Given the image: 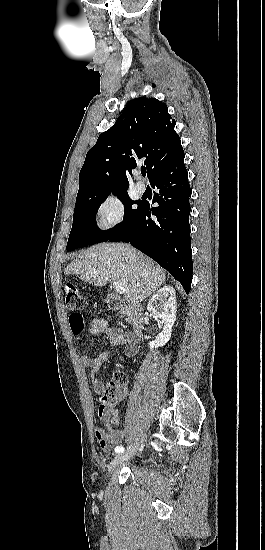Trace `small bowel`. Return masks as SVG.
Here are the masks:
<instances>
[{
    "mask_svg": "<svg viewBox=\"0 0 265 550\" xmlns=\"http://www.w3.org/2000/svg\"><path fill=\"white\" fill-rule=\"evenodd\" d=\"M88 334L91 335H102L110 343L123 345L127 354H134L137 350V347L133 345V337L126 332H122L118 329L109 328L106 322L102 319H93L90 327L87 330ZM84 330L77 334L78 337H82ZM111 356L110 351H103L97 357H83L82 365L85 368L91 370V372L96 375L102 368L103 364L109 360ZM93 388L94 391L101 395L104 391V383L94 376L93 378ZM99 418L104 423L107 424V416L99 407ZM94 435L98 441L99 446L103 451H108L113 445L120 443L123 440V431L120 429H109L105 430L102 426L94 427Z\"/></svg>",
    "mask_w": 265,
    "mask_h": 550,
    "instance_id": "obj_1",
    "label": "small bowel"
}]
</instances>
